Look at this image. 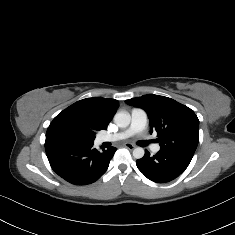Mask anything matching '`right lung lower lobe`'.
Returning <instances> with one entry per match:
<instances>
[{"label": "right lung lower lobe", "mask_w": 235, "mask_h": 235, "mask_svg": "<svg viewBox=\"0 0 235 235\" xmlns=\"http://www.w3.org/2000/svg\"><path fill=\"white\" fill-rule=\"evenodd\" d=\"M45 150L56 174L71 184L88 185L106 172L117 149L99 152L93 143L68 142L60 136L46 141Z\"/></svg>", "instance_id": "1"}]
</instances>
